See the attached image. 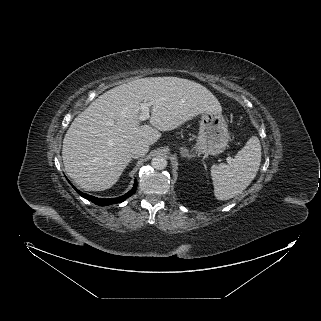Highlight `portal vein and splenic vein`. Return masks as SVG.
<instances>
[{
	"instance_id": "1",
	"label": "portal vein and splenic vein",
	"mask_w": 321,
	"mask_h": 321,
	"mask_svg": "<svg viewBox=\"0 0 321 321\" xmlns=\"http://www.w3.org/2000/svg\"><path fill=\"white\" fill-rule=\"evenodd\" d=\"M153 105V103L152 102H144V103H142L141 105H140V108H141V114H140V116H139V120L140 121H145V120H147L149 117H150V115H149V107H151ZM227 161L228 162H230L231 161V158L230 157H228L227 158Z\"/></svg>"
}]
</instances>
